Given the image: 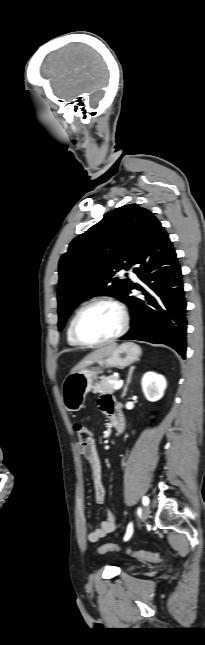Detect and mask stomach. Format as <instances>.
Instances as JSON below:
<instances>
[{
	"label": "stomach",
	"mask_w": 205,
	"mask_h": 645,
	"mask_svg": "<svg viewBox=\"0 0 205 645\" xmlns=\"http://www.w3.org/2000/svg\"><path fill=\"white\" fill-rule=\"evenodd\" d=\"M141 356V349L132 342L117 346L107 357L98 361L99 366L123 368L133 364ZM97 368H84L69 374L62 384V395L66 409L70 412L79 411L85 402L88 392L93 387Z\"/></svg>",
	"instance_id": "0dacf381"
}]
</instances>
